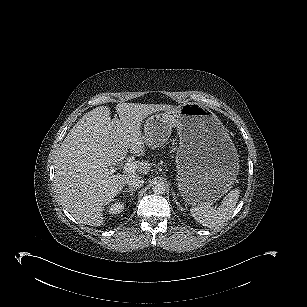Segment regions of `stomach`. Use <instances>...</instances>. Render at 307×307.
<instances>
[{
    "label": "stomach",
    "instance_id": "stomach-1",
    "mask_svg": "<svg viewBox=\"0 0 307 307\" xmlns=\"http://www.w3.org/2000/svg\"><path fill=\"white\" fill-rule=\"evenodd\" d=\"M178 130V188L193 205L220 199L238 173V155L219 118L206 106L188 102L171 111L157 112L145 123L151 146L162 145L171 128Z\"/></svg>",
    "mask_w": 307,
    "mask_h": 307
}]
</instances>
